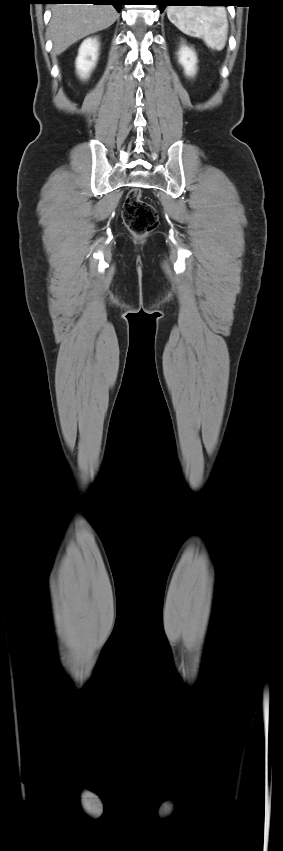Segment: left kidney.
I'll list each match as a JSON object with an SVG mask.
<instances>
[{
    "label": "left kidney",
    "instance_id": "left-kidney-1",
    "mask_svg": "<svg viewBox=\"0 0 283 851\" xmlns=\"http://www.w3.org/2000/svg\"><path fill=\"white\" fill-rule=\"evenodd\" d=\"M178 61L187 76L195 74L197 56L191 48L183 45L178 52Z\"/></svg>",
    "mask_w": 283,
    "mask_h": 851
}]
</instances>
